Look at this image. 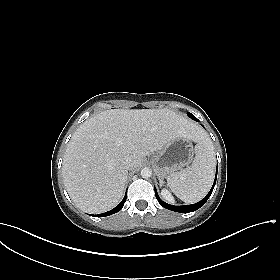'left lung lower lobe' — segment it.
Masks as SVG:
<instances>
[{
    "instance_id": "obj_1",
    "label": "left lung lower lobe",
    "mask_w": 280,
    "mask_h": 280,
    "mask_svg": "<svg viewBox=\"0 0 280 280\" xmlns=\"http://www.w3.org/2000/svg\"><path fill=\"white\" fill-rule=\"evenodd\" d=\"M191 118L194 119V120H196V121H198V119H197L196 117H194L193 115H191ZM216 177H217V173H216ZM216 177H215L214 184H213V186H212L210 192L207 194V196H206L204 199H202L200 202L195 203V204H192V205H185V206H173V205H169V204L163 202V201L159 198V196H158L156 190H155V196H156L158 202L160 203V205H161L162 207H164V208H166V209H169V210H172V211H175V212L189 213V212H192V211H195V210L199 209L200 207H202V206L206 203V201H207L208 198L210 197V195H211V193H212V191H213V188H214V186H215Z\"/></svg>"
}]
</instances>
